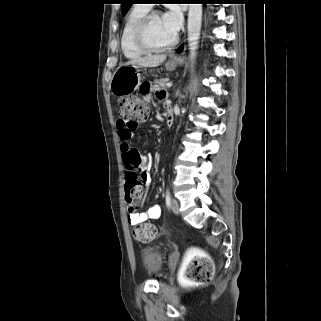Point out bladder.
I'll return each mask as SVG.
<instances>
[{
  "label": "bladder",
  "instance_id": "31cf9c89",
  "mask_svg": "<svg viewBox=\"0 0 321 321\" xmlns=\"http://www.w3.org/2000/svg\"><path fill=\"white\" fill-rule=\"evenodd\" d=\"M142 264L147 274L159 276L162 270V259L158 253L151 248H145L141 254Z\"/></svg>",
  "mask_w": 321,
  "mask_h": 321
}]
</instances>
